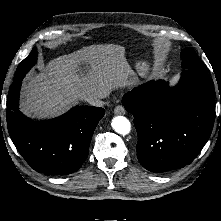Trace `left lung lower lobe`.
<instances>
[{"label":"left lung lower lobe","mask_w":221,"mask_h":221,"mask_svg":"<svg viewBox=\"0 0 221 221\" xmlns=\"http://www.w3.org/2000/svg\"><path fill=\"white\" fill-rule=\"evenodd\" d=\"M122 103L134 115L138 160L152 172L190 164L212 132L215 90L206 71L185 69L171 88L149 81L126 93Z\"/></svg>","instance_id":"left-lung-lower-lobe-1"}]
</instances>
